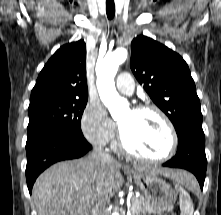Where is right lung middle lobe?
<instances>
[{"label":"right lung middle lobe","mask_w":221,"mask_h":215,"mask_svg":"<svg viewBox=\"0 0 221 215\" xmlns=\"http://www.w3.org/2000/svg\"><path fill=\"white\" fill-rule=\"evenodd\" d=\"M86 104L87 100H53L29 105L27 142L56 133L83 136L80 122Z\"/></svg>","instance_id":"1"}]
</instances>
